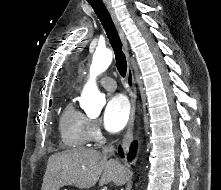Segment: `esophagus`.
<instances>
[{"instance_id":"34e87169","label":"esophagus","mask_w":221,"mask_h":190,"mask_svg":"<svg viewBox=\"0 0 221 190\" xmlns=\"http://www.w3.org/2000/svg\"><path fill=\"white\" fill-rule=\"evenodd\" d=\"M103 1H104V4H105L113 22H114V25H115L118 33H119V36H120L122 44H123V50H124V53H125L127 60H128V69H127L126 80H127L128 91H129V95H130L131 111H130V118H129L127 130H126L125 135L123 137V144H122L124 150L128 151L129 146H130L132 139H133V127H134L135 111H136L137 95H136L135 80H134L132 63H131L130 55H129V51H128L127 39L124 35V32L120 26V23L116 17V14L114 12V9H113L110 1L109 0H103Z\"/></svg>"}]
</instances>
